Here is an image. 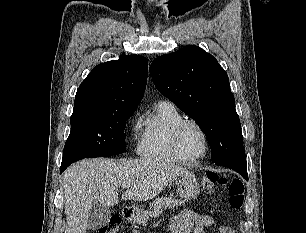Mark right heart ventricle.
Wrapping results in <instances>:
<instances>
[{
  "label": "right heart ventricle",
  "instance_id": "obj_1",
  "mask_svg": "<svg viewBox=\"0 0 306 233\" xmlns=\"http://www.w3.org/2000/svg\"><path fill=\"white\" fill-rule=\"evenodd\" d=\"M181 120V113L172 103L158 102L140 122V154L153 160L179 161L173 151L171 137L174 127Z\"/></svg>",
  "mask_w": 306,
  "mask_h": 233
}]
</instances>
